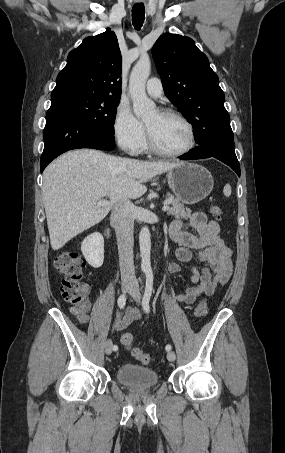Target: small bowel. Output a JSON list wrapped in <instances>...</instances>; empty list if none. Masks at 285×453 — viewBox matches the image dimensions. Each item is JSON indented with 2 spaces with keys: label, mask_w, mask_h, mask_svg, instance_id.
<instances>
[{
  "label": "small bowel",
  "mask_w": 285,
  "mask_h": 453,
  "mask_svg": "<svg viewBox=\"0 0 285 453\" xmlns=\"http://www.w3.org/2000/svg\"><path fill=\"white\" fill-rule=\"evenodd\" d=\"M193 230V232L188 231ZM169 237L178 247L175 255L179 262H190L194 258L205 264L193 267L191 272L192 285L186 287L184 293L177 296L180 302L194 303L202 294L212 295L217 288L228 282L232 274V251L220 237V226L214 220H208L203 212H195L187 222L174 220L169 227ZM171 273L181 271L178 262L168 266ZM81 322H87L85 313L73 311ZM142 319L137 309H127L118 313L113 321V331H123L134 321Z\"/></svg>",
  "instance_id": "small-bowel-1"
}]
</instances>
